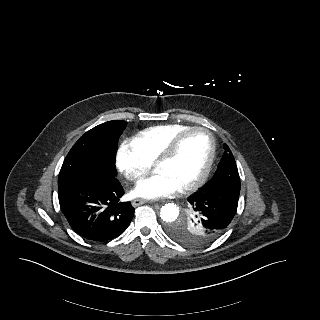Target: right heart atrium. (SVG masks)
I'll return each mask as SVG.
<instances>
[{
	"label": "right heart atrium",
	"mask_w": 320,
	"mask_h": 320,
	"mask_svg": "<svg viewBox=\"0 0 320 320\" xmlns=\"http://www.w3.org/2000/svg\"><path fill=\"white\" fill-rule=\"evenodd\" d=\"M117 166L130 181L139 180L150 168L134 140H124L117 152Z\"/></svg>",
	"instance_id": "right-heart-atrium-1"
}]
</instances>
